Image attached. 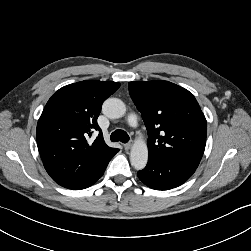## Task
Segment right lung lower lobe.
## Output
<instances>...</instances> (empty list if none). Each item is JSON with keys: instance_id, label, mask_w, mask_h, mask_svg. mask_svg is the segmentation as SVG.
Returning <instances> with one entry per match:
<instances>
[{"instance_id": "98d812e1", "label": "right lung lower lobe", "mask_w": 251, "mask_h": 251, "mask_svg": "<svg viewBox=\"0 0 251 251\" xmlns=\"http://www.w3.org/2000/svg\"><path fill=\"white\" fill-rule=\"evenodd\" d=\"M118 151L119 150L114 152V154L110 157L109 160H107L98 170H96L95 172H93L89 176L82 177L77 180L67 181V182H65V181H56V182L65 188L73 189V190L87 188V187L91 186L92 184H94L104 174V171H105L109 161Z\"/></svg>"}]
</instances>
